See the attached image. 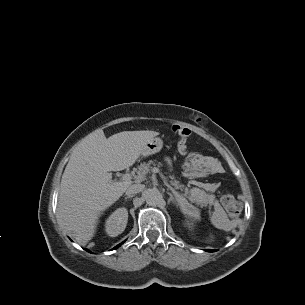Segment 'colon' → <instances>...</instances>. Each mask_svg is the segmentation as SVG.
Listing matches in <instances>:
<instances>
[{
    "label": "colon",
    "mask_w": 305,
    "mask_h": 305,
    "mask_svg": "<svg viewBox=\"0 0 305 305\" xmlns=\"http://www.w3.org/2000/svg\"><path fill=\"white\" fill-rule=\"evenodd\" d=\"M172 131L179 136L178 147L182 149L185 148L186 140L191 134V131L188 128L180 125H173ZM221 202L229 216L235 217L240 212V204L234 195L229 193L223 195Z\"/></svg>",
    "instance_id": "obj_1"
}]
</instances>
